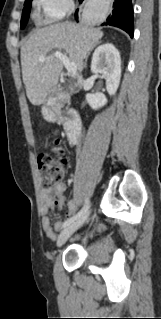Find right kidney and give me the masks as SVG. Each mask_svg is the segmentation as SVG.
I'll return each mask as SVG.
<instances>
[{
	"label": "right kidney",
	"mask_w": 161,
	"mask_h": 319,
	"mask_svg": "<svg viewBox=\"0 0 161 319\" xmlns=\"http://www.w3.org/2000/svg\"><path fill=\"white\" fill-rule=\"evenodd\" d=\"M91 71L105 77L107 92L110 96L114 95L121 79V58L118 49L111 43L99 46L92 56ZM86 100L94 110L107 103V98L103 93H88Z\"/></svg>",
	"instance_id": "right-kidney-1"
}]
</instances>
